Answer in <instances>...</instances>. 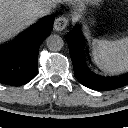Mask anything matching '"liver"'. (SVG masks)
Segmentation results:
<instances>
[{
	"mask_svg": "<svg viewBox=\"0 0 128 128\" xmlns=\"http://www.w3.org/2000/svg\"><path fill=\"white\" fill-rule=\"evenodd\" d=\"M87 0H0V43L13 38L19 32L32 25L36 20L35 9L49 2L52 8L58 3L77 4L83 8Z\"/></svg>",
	"mask_w": 128,
	"mask_h": 128,
	"instance_id": "1",
	"label": "liver"
}]
</instances>
